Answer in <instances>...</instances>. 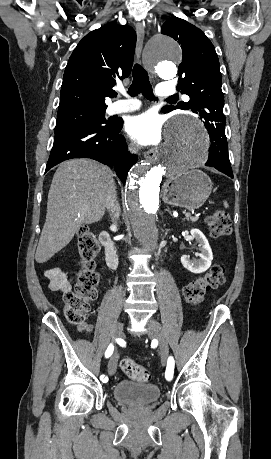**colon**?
<instances>
[{
    "label": "colon",
    "instance_id": "colon-1",
    "mask_svg": "<svg viewBox=\"0 0 271 459\" xmlns=\"http://www.w3.org/2000/svg\"><path fill=\"white\" fill-rule=\"evenodd\" d=\"M211 236L219 240L231 233L229 215L223 210H217L206 220ZM77 249L81 257V268L76 274V283L73 290L64 293L65 316L72 324H81L90 311L91 302L97 296L100 282L95 271V257L99 252V244L95 235L88 227L83 226L77 233ZM226 280V267L222 263L214 264L203 276L190 282L184 288L185 300L190 304H199L207 291L220 287ZM122 371L131 379L138 382L150 380L147 369L132 359L121 361Z\"/></svg>",
    "mask_w": 271,
    "mask_h": 459
}]
</instances>
